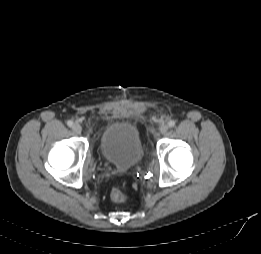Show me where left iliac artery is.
Wrapping results in <instances>:
<instances>
[{"mask_svg":"<svg viewBox=\"0 0 261 254\" xmlns=\"http://www.w3.org/2000/svg\"><path fill=\"white\" fill-rule=\"evenodd\" d=\"M168 126H169V127H174V126H175V121H174V120H170V121L168 122Z\"/></svg>","mask_w":261,"mask_h":254,"instance_id":"1","label":"left iliac artery"}]
</instances>
